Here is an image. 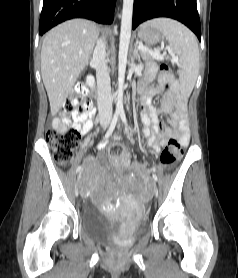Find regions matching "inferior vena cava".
Segmentation results:
<instances>
[{"label": "inferior vena cava", "instance_id": "602c4592", "mask_svg": "<svg viewBox=\"0 0 238 278\" xmlns=\"http://www.w3.org/2000/svg\"><path fill=\"white\" fill-rule=\"evenodd\" d=\"M92 63L96 69L99 119L101 124L107 126L112 118V95L104 39L97 41Z\"/></svg>", "mask_w": 238, "mask_h": 278}]
</instances>
